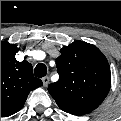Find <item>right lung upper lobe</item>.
<instances>
[{"instance_id":"cb5924a9","label":"right lung upper lobe","mask_w":121,"mask_h":121,"mask_svg":"<svg viewBox=\"0 0 121 121\" xmlns=\"http://www.w3.org/2000/svg\"><path fill=\"white\" fill-rule=\"evenodd\" d=\"M17 52L15 44L1 41V117L18 112L29 92L43 85L29 62L15 59Z\"/></svg>"}]
</instances>
